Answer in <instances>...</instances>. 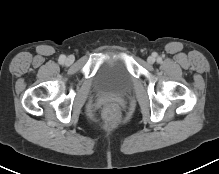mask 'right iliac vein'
<instances>
[{"label": "right iliac vein", "instance_id": "63e3f726", "mask_svg": "<svg viewBox=\"0 0 219 174\" xmlns=\"http://www.w3.org/2000/svg\"><path fill=\"white\" fill-rule=\"evenodd\" d=\"M73 57H71V56H69L67 59H66V64H68V65H70V64H72L73 63Z\"/></svg>", "mask_w": 219, "mask_h": 174}]
</instances>
